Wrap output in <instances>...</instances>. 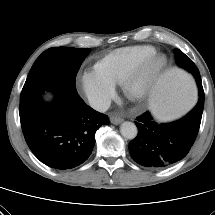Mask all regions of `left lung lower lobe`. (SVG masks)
I'll return each instance as SVG.
<instances>
[{"mask_svg": "<svg viewBox=\"0 0 215 215\" xmlns=\"http://www.w3.org/2000/svg\"><path fill=\"white\" fill-rule=\"evenodd\" d=\"M198 89L197 105L177 121L157 123L150 112L137 117L138 135L129 144V152L135 162L151 169H161L187 155L197 137L203 113L202 82Z\"/></svg>", "mask_w": 215, "mask_h": 215, "instance_id": "1", "label": "left lung lower lobe"}]
</instances>
